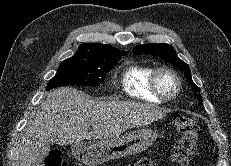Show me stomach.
<instances>
[{"label":"stomach","mask_w":231,"mask_h":166,"mask_svg":"<svg viewBox=\"0 0 231 166\" xmlns=\"http://www.w3.org/2000/svg\"><path fill=\"white\" fill-rule=\"evenodd\" d=\"M153 129H140L108 140H85L72 145L74 158L88 166H97L108 160L136 155L150 147L157 139Z\"/></svg>","instance_id":"obj_1"}]
</instances>
